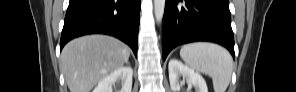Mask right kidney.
I'll use <instances>...</instances> for the list:
<instances>
[{
	"mask_svg": "<svg viewBox=\"0 0 296 92\" xmlns=\"http://www.w3.org/2000/svg\"><path fill=\"white\" fill-rule=\"evenodd\" d=\"M132 76L133 70L130 66L118 68L104 77L93 92H113L112 86L119 80L122 81V88L119 92H131Z\"/></svg>",
	"mask_w": 296,
	"mask_h": 92,
	"instance_id": "obj_1",
	"label": "right kidney"
}]
</instances>
